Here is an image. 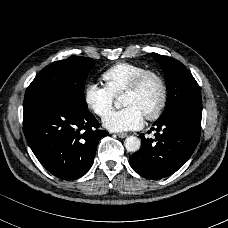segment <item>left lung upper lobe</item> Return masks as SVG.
I'll list each match as a JSON object with an SVG mask.
<instances>
[{
  "label": "left lung upper lobe",
  "mask_w": 228,
  "mask_h": 228,
  "mask_svg": "<svg viewBox=\"0 0 228 228\" xmlns=\"http://www.w3.org/2000/svg\"><path fill=\"white\" fill-rule=\"evenodd\" d=\"M151 55L159 62L164 71L167 85V105L159 118L181 109L201 112L200 88L190 71L174 58L157 53H152Z\"/></svg>",
  "instance_id": "left-lung-upper-lobe-1"
}]
</instances>
